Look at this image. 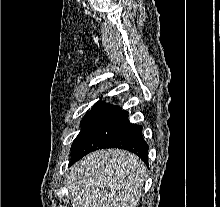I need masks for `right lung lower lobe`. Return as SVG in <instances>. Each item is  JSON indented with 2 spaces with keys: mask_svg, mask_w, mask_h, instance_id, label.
Returning a JSON list of instances; mask_svg holds the SVG:
<instances>
[{
  "mask_svg": "<svg viewBox=\"0 0 220 207\" xmlns=\"http://www.w3.org/2000/svg\"><path fill=\"white\" fill-rule=\"evenodd\" d=\"M108 147L127 149L148 164V145L142 127L129 122L128 112L99 101L88 113L72 144L69 166L96 149Z\"/></svg>",
  "mask_w": 220,
  "mask_h": 207,
  "instance_id": "1",
  "label": "right lung lower lobe"
}]
</instances>
